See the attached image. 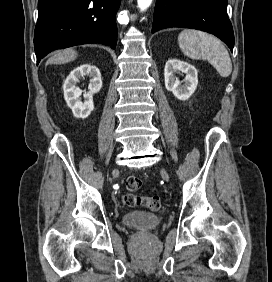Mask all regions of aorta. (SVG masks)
I'll use <instances>...</instances> for the list:
<instances>
[{"mask_svg": "<svg viewBox=\"0 0 272 282\" xmlns=\"http://www.w3.org/2000/svg\"><path fill=\"white\" fill-rule=\"evenodd\" d=\"M141 12L145 11L152 3V0H137Z\"/></svg>", "mask_w": 272, "mask_h": 282, "instance_id": "1", "label": "aorta"}]
</instances>
